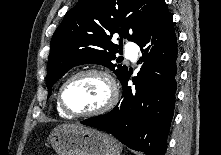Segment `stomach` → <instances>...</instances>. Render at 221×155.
Here are the masks:
<instances>
[{"label": "stomach", "instance_id": "obj_1", "mask_svg": "<svg viewBox=\"0 0 221 155\" xmlns=\"http://www.w3.org/2000/svg\"><path fill=\"white\" fill-rule=\"evenodd\" d=\"M50 143L57 155H120L122 150L111 135L74 124L55 127Z\"/></svg>", "mask_w": 221, "mask_h": 155}]
</instances>
